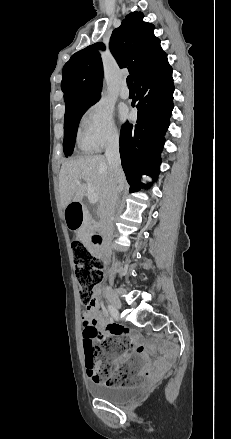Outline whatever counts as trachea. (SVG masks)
<instances>
[{"instance_id": "obj_1", "label": "trachea", "mask_w": 231, "mask_h": 439, "mask_svg": "<svg viewBox=\"0 0 231 439\" xmlns=\"http://www.w3.org/2000/svg\"><path fill=\"white\" fill-rule=\"evenodd\" d=\"M126 81H127V85H128V87H134V84H133V81H132V77H131V76H128L127 79H126Z\"/></svg>"}]
</instances>
